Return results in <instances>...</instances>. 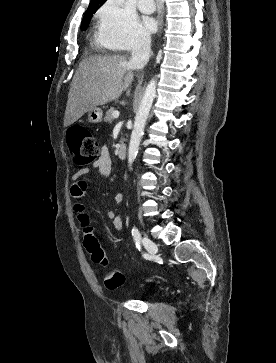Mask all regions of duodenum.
Listing matches in <instances>:
<instances>
[{
    "label": "duodenum",
    "mask_w": 276,
    "mask_h": 363,
    "mask_svg": "<svg viewBox=\"0 0 276 363\" xmlns=\"http://www.w3.org/2000/svg\"><path fill=\"white\" fill-rule=\"evenodd\" d=\"M127 155V148L124 141H121L118 146V157L124 159Z\"/></svg>",
    "instance_id": "duodenum-1"
}]
</instances>
